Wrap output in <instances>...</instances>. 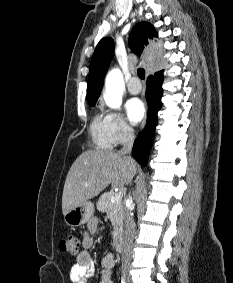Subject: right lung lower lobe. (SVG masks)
<instances>
[{
  "mask_svg": "<svg viewBox=\"0 0 233 283\" xmlns=\"http://www.w3.org/2000/svg\"><path fill=\"white\" fill-rule=\"evenodd\" d=\"M163 74L162 71L156 72L147 80L146 98L149 106L147 125L142 133L135 140L132 155L143 166H146L149 150L157 124V112L161 108L160 98L162 96Z\"/></svg>",
  "mask_w": 233,
  "mask_h": 283,
  "instance_id": "obj_1",
  "label": "right lung lower lobe"
}]
</instances>
